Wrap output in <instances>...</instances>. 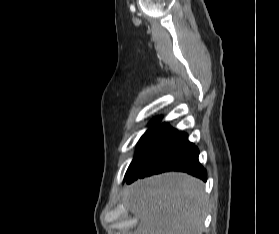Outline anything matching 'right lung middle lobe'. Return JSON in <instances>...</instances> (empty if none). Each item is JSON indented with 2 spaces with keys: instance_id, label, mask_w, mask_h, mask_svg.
<instances>
[{
  "instance_id": "1",
  "label": "right lung middle lobe",
  "mask_w": 279,
  "mask_h": 234,
  "mask_svg": "<svg viewBox=\"0 0 279 234\" xmlns=\"http://www.w3.org/2000/svg\"><path fill=\"white\" fill-rule=\"evenodd\" d=\"M159 124H160L159 121H156V120L152 121V122L150 123V128L148 129V131H147V132L141 137V139L139 140L138 145H137V152H136V155H135V157H134L132 163L130 164V166H129L127 172H126L125 177L127 176V174H128V172H129V170H130V168H131V166H132L134 160L136 159V157L138 156V154L140 153V151L142 150V148L144 147V145L148 142V140L150 139V137L152 136V134H153V133L156 131V129L159 127Z\"/></svg>"
}]
</instances>
